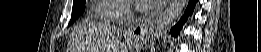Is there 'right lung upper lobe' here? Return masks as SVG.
Here are the masks:
<instances>
[{"label":"right lung upper lobe","instance_id":"1","mask_svg":"<svg viewBox=\"0 0 261 52\" xmlns=\"http://www.w3.org/2000/svg\"><path fill=\"white\" fill-rule=\"evenodd\" d=\"M77 0H73V3L76 2Z\"/></svg>","mask_w":261,"mask_h":52}]
</instances>
